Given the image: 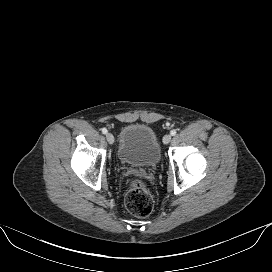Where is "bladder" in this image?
Returning <instances> with one entry per match:
<instances>
[{
  "label": "bladder",
  "mask_w": 272,
  "mask_h": 272,
  "mask_svg": "<svg viewBox=\"0 0 272 272\" xmlns=\"http://www.w3.org/2000/svg\"><path fill=\"white\" fill-rule=\"evenodd\" d=\"M119 160L134 167H154L161 159V148L154 130L144 124L125 126L120 134Z\"/></svg>",
  "instance_id": "1"
}]
</instances>
